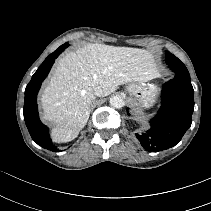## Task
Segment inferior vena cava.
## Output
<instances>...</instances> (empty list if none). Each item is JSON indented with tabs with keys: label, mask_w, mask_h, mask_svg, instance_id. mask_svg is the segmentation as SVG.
Masks as SVG:
<instances>
[{
	"label": "inferior vena cava",
	"mask_w": 211,
	"mask_h": 211,
	"mask_svg": "<svg viewBox=\"0 0 211 211\" xmlns=\"http://www.w3.org/2000/svg\"><path fill=\"white\" fill-rule=\"evenodd\" d=\"M94 94H95L96 96H99V97L103 96V89H102L100 86H97V87L94 89Z\"/></svg>",
	"instance_id": "602c4592"
}]
</instances>
